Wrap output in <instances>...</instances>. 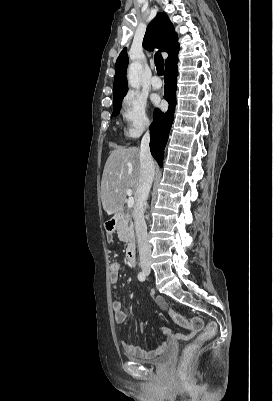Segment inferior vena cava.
<instances>
[{
  "mask_svg": "<svg viewBox=\"0 0 273 401\" xmlns=\"http://www.w3.org/2000/svg\"><path fill=\"white\" fill-rule=\"evenodd\" d=\"M149 130L145 132L140 146V176L136 190V207L134 209V223L138 241L140 261L150 259L151 247L148 241L147 225L144 219V207L154 178V162L150 152Z\"/></svg>",
  "mask_w": 273,
  "mask_h": 401,
  "instance_id": "obj_1",
  "label": "inferior vena cava"
}]
</instances>
